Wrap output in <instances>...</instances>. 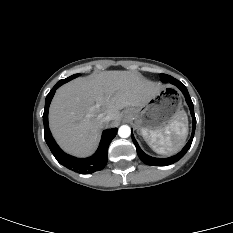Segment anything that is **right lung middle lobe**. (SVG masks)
<instances>
[{"instance_id": "1", "label": "right lung middle lobe", "mask_w": 233, "mask_h": 233, "mask_svg": "<svg viewBox=\"0 0 233 233\" xmlns=\"http://www.w3.org/2000/svg\"><path fill=\"white\" fill-rule=\"evenodd\" d=\"M77 76H78V74H75V75H72V76H70V77H68V78H66V79H63V80H65V82H68V81H70V80L76 78Z\"/></svg>"}]
</instances>
